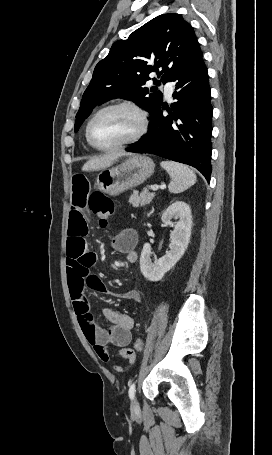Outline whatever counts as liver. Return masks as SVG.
I'll list each match as a JSON object with an SVG mask.
<instances>
[{
	"instance_id": "liver-1",
	"label": "liver",
	"mask_w": 272,
	"mask_h": 455,
	"mask_svg": "<svg viewBox=\"0 0 272 455\" xmlns=\"http://www.w3.org/2000/svg\"><path fill=\"white\" fill-rule=\"evenodd\" d=\"M120 156L121 154H107L99 157H94L83 165L82 171L106 169L110 167Z\"/></svg>"
}]
</instances>
